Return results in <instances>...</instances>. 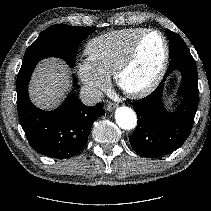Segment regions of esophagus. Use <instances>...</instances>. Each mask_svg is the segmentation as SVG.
<instances>
[{"instance_id":"esophagus-1","label":"esophagus","mask_w":211,"mask_h":211,"mask_svg":"<svg viewBox=\"0 0 211 211\" xmlns=\"http://www.w3.org/2000/svg\"><path fill=\"white\" fill-rule=\"evenodd\" d=\"M116 107H117V104H116V103H113V102H109V103L106 105L107 111H112V110H114Z\"/></svg>"}]
</instances>
